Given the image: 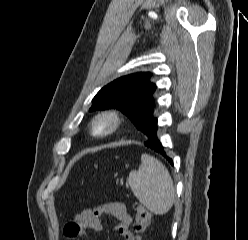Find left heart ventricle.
<instances>
[{
	"label": "left heart ventricle",
	"instance_id": "b2bd125f",
	"mask_svg": "<svg viewBox=\"0 0 248 240\" xmlns=\"http://www.w3.org/2000/svg\"><path fill=\"white\" fill-rule=\"evenodd\" d=\"M111 125V122L109 119H100L96 124V130L97 131H104L108 129Z\"/></svg>",
	"mask_w": 248,
	"mask_h": 240
}]
</instances>
